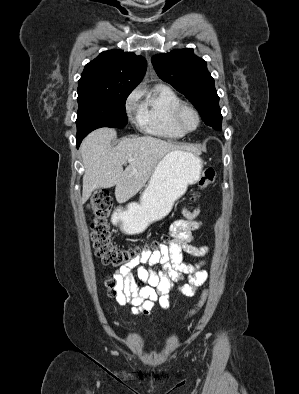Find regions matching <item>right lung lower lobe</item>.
<instances>
[{
  "label": "right lung lower lobe",
  "mask_w": 299,
  "mask_h": 394,
  "mask_svg": "<svg viewBox=\"0 0 299 394\" xmlns=\"http://www.w3.org/2000/svg\"><path fill=\"white\" fill-rule=\"evenodd\" d=\"M83 138H84V136L77 134V137H76V139H77V147L79 146V144L81 143Z\"/></svg>",
  "instance_id": "1"
}]
</instances>
